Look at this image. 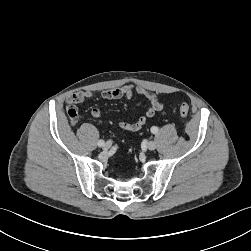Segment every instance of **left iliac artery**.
Returning a JSON list of instances; mask_svg holds the SVG:
<instances>
[{"mask_svg": "<svg viewBox=\"0 0 251 251\" xmlns=\"http://www.w3.org/2000/svg\"><path fill=\"white\" fill-rule=\"evenodd\" d=\"M151 132L153 134H156L158 132V127H156V126L151 127Z\"/></svg>", "mask_w": 251, "mask_h": 251, "instance_id": "left-iliac-artery-1", "label": "left iliac artery"}]
</instances>
